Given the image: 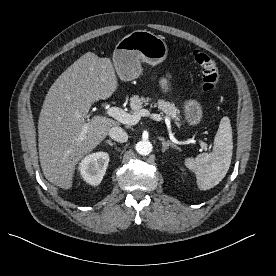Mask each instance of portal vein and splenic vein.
I'll use <instances>...</instances> for the list:
<instances>
[{"instance_id":"portal-vein-and-splenic-vein-1","label":"portal vein and splenic vein","mask_w":276,"mask_h":276,"mask_svg":"<svg viewBox=\"0 0 276 276\" xmlns=\"http://www.w3.org/2000/svg\"><path fill=\"white\" fill-rule=\"evenodd\" d=\"M107 115L110 117H113L114 119H116L117 121L123 124H128V125L137 124L141 117H150L151 119L156 121L163 120V118L159 114L150 113V111L147 109H141L138 113L129 114L124 110H122L121 108L115 107V106L110 107L107 110ZM86 129H87L86 127L83 129L82 137L84 136ZM82 137L81 139H83ZM200 144L203 148L207 147V144L203 141H200Z\"/></svg>"}]
</instances>
